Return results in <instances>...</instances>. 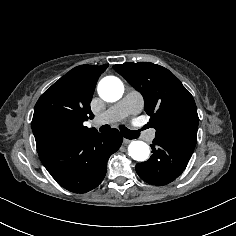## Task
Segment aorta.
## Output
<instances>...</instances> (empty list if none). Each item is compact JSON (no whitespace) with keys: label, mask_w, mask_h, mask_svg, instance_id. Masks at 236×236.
I'll use <instances>...</instances> for the list:
<instances>
[{"label":"aorta","mask_w":236,"mask_h":236,"mask_svg":"<svg viewBox=\"0 0 236 236\" xmlns=\"http://www.w3.org/2000/svg\"><path fill=\"white\" fill-rule=\"evenodd\" d=\"M124 93L122 81L115 76H107L98 84V94L106 102L118 101ZM129 156L136 161H145L149 158V146L142 141H132L128 146Z\"/></svg>","instance_id":"762f6f07"}]
</instances>
